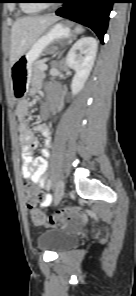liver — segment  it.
Wrapping results in <instances>:
<instances>
[{"label": "liver", "mask_w": 136, "mask_h": 296, "mask_svg": "<svg viewBox=\"0 0 136 296\" xmlns=\"http://www.w3.org/2000/svg\"><path fill=\"white\" fill-rule=\"evenodd\" d=\"M59 20L53 15L18 18L11 29L10 63L13 65L46 29Z\"/></svg>", "instance_id": "liver-1"}]
</instances>
